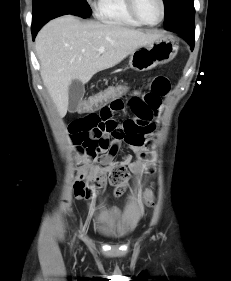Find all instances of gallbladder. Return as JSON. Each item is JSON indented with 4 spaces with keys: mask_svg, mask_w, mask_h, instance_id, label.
<instances>
[{
    "mask_svg": "<svg viewBox=\"0 0 231 281\" xmlns=\"http://www.w3.org/2000/svg\"><path fill=\"white\" fill-rule=\"evenodd\" d=\"M85 93V88L80 80H72L68 89L69 96V110L70 112H76L79 107V103L82 100Z\"/></svg>",
    "mask_w": 231,
    "mask_h": 281,
    "instance_id": "1",
    "label": "gallbladder"
}]
</instances>
